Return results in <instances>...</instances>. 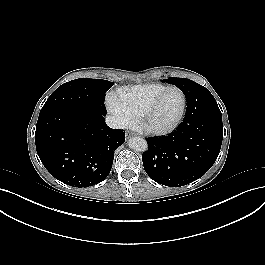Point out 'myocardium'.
<instances>
[{
    "label": "myocardium",
    "mask_w": 265,
    "mask_h": 265,
    "mask_svg": "<svg viewBox=\"0 0 265 265\" xmlns=\"http://www.w3.org/2000/svg\"><path fill=\"white\" fill-rule=\"evenodd\" d=\"M170 90L178 91L181 94L182 106H181L180 112L177 115V117L167 126L160 127V128L153 127L148 123V119L151 116L154 109L157 107V105L160 102V100L162 99V97L165 95V93L170 91ZM186 109H187V97H186L184 91L178 86H167L156 95V97L150 102V104L148 105V107L144 111V113H143V115L139 121V129L141 131L145 132L146 134L155 135V136H164V135L170 134L182 122V120L185 116V113H186Z\"/></svg>",
    "instance_id": "obj_1"
}]
</instances>
